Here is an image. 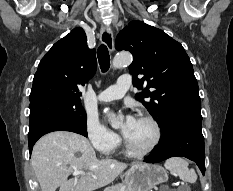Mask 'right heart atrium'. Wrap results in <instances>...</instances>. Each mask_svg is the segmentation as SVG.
Masks as SVG:
<instances>
[{
	"label": "right heart atrium",
	"instance_id": "d8ad5b80",
	"mask_svg": "<svg viewBox=\"0 0 233 191\" xmlns=\"http://www.w3.org/2000/svg\"><path fill=\"white\" fill-rule=\"evenodd\" d=\"M87 133L92 145L100 153H110L120 144L119 136L108 130L93 117L87 120Z\"/></svg>",
	"mask_w": 233,
	"mask_h": 191
}]
</instances>
